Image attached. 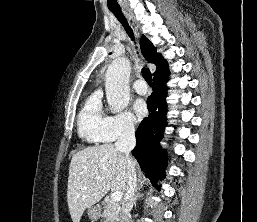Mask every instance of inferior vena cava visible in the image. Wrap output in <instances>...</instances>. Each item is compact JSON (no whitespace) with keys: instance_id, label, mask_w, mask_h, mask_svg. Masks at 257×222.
<instances>
[{"instance_id":"602c4592","label":"inferior vena cava","mask_w":257,"mask_h":222,"mask_svg":"<svg viewBox=\"0 0 257 222\" xmlns=\"http://www.w3.org/2000/svg\"><path fill=\"white\" fill-rule=\"evenodd\" d=\"M135 128L133 124H126L122 127L119 137L115 143L117 150L125 154L129 166V178L126 187L125 196L122 202L120 212V222H130V211L135 201V191L137 187V178L135 168L130 157L131 150L135 147Z\"/></svg>"}]
</instances>
